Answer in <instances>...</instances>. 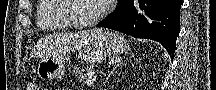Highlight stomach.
<instances>
[{
	"instance_id": "obj_1",
	"label": "stomach",
	"mask_w": 216,
	"mask_h": 90,
	"mask_svg": "<svg viewBox=\"0 0 216 90\" xmlns=\"http://www.w3.org/2000/svg\"><path fill=\"white\" fill-rule=\"evenodd\" d=\"M128 49V44L124 37L113 31L103 32L96 37L82 51L85 59L99 61L105 58H112L122 54ZM65 73L63 59H44L39 62L37 75L42 80H52L59 78Z\"/></svg>"
}]
</instances>
